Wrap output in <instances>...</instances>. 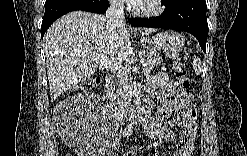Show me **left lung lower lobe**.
I'll return each instance as SVG.
<instances>
[{"label": "left lung lower lobe", "mask_w": 247, "mask_h": 156, "mask_svg": "<svg viewBox=\"0 0 247 156\" xmlns=\"http://www.w3.org/2000/svg\"><path fill=\"white\" fill-rule=\"evenodd\" d=\"M165 6L164 12L158 17L129 19L128 22L135 27L165 28L189 32L197 38L205 52L208 36L206 1L174 0Z\"/></svg>", "instance_id": "1"}]
</instances>
